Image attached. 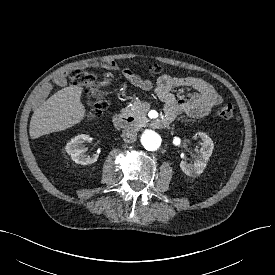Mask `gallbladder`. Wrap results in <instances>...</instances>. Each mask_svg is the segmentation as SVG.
I'll list each match as a JSON object with an SVG mask.
<instances>
[{
	"label": "gallbladder",
	"mask_w": 275,
	"mask_h": 275,
	"mask_svg": "<svg viewBox=\"0 0 275 275\" xmlns=\"http://www.w3.org/2000/svg\"><path fill=\"white\" fill-rule=\"evenodd\" d=\"M91 95H92V97H94V98H98V97H99V92H98L97 90H92V91H91Z\"/></svg>",
	"instance_id": "bac80fb5"
}]
</instances>
